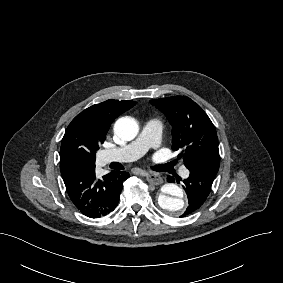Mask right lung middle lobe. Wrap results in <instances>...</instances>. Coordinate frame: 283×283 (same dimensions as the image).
<instances>
[{"label": "right lung middle lobe", "mask_w": 283, "mask_h": 283, "mask_svg": "<svg viewBox=\"0 0 283 283\" xmlns=\"http://www.w3.org/2000/svg\"><path fill=\"white\" fill-rule=\"evenodd\" d=\"M104 140L99 137L85 140L76 138L62 140L60 150L61 173L77 167L94 166L96 151L99 149V144H102Z\"/></svg>", "instance_id": "1"}]
</instances>
